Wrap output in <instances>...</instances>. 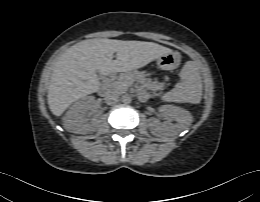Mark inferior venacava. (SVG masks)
Masks as SVG:
<instances>
[{"instance_id":"602c4592","label":"inferior vena cava","mask_w":260,"mask_h":202,"mask_svg":"<svg viewBox=\"0 0 260 202\" xmlns=\"http://www.w3.org/2000/svg\"><path fill=\"white\" fill-rule=\"evenodd\" d=\"M104 99L107 104H115L119 101V95L116 92L110 91L105 94Z\"/></svg>"}]
</instances>
